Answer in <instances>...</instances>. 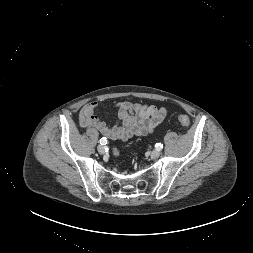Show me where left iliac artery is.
Wrapping results in <instances>:
<instances>
[{
	"mask_svg": "<svg viewBox=\"0 0 253 253\" xmlns=\"http://www.w3.org/2000/svg\"><path fill=\"white\" fill-rule=\"evenodd\" d=\"M157 149L161 150L163 148V144L159 143L156 145Z\"/></svg>",
	"mask_w": 253,
	"mask_h": 253,
	"instance_id": "1",
	"label": "left iliac artery"
}]
</instances>
